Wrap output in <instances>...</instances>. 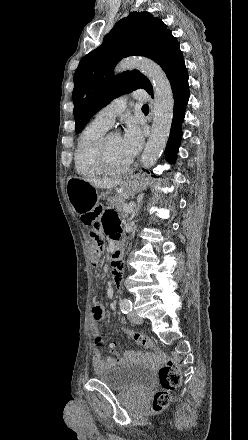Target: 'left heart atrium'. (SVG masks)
Segmentation results:
<instances>
[{
  "label": "left heart atrium",
  "instance_id": "left-heart-atrium-1",
  "mask_svg": "<svg viewBox=\"0 0 248 440\" xmlns=\"http://www.w3.org/2000/svg\"><path fill=\"white\" fill-rule=\"evenodd\" d=\"M142 144L143 137L140 127L135 121L129 120L121 136V148L130 161L140 151Z\"/></svg>",
  "mask_w": 248,
  "mask_h": 440
}]
</instances>
